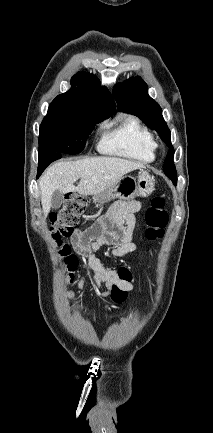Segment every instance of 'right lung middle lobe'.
<instances>
[{"mask_svg": "<svg viewBox=\"0 0 213 433\" xmlns=\"http://www.w3.org/2000/svg\"><path fill=\"white\" fill-rule=\"evenodd\" d=\"M101 121L79 111L50 106L39 130L38 156L80 153L95 124Z\"/></svg>", "mask_w": 213, "mask_h": 433, "instance_id": "dd1d6c3e", "label": "right lung middle lobe"}]
</instances>
